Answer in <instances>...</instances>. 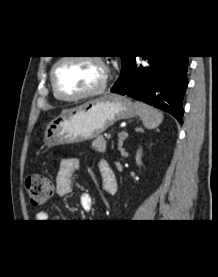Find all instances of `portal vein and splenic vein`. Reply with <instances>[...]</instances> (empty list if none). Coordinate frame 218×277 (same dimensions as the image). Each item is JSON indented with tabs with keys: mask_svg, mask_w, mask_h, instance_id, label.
I'll return each mask as SVG.
<instances>
[{
	"mask_svg": "<svg viewBox=\"0 0 218 277\" xmlns=\"http://www.w3.org/2000/svg\"><path fill=\"white\" fill-rule=\"evenodd\" d=\"M124 134H126V133H124ZM110 138H111V134H107L106 139H110Z\"/></svg>",
	"mask_w": 218,
	"mask_h": 277,
	"instance_id": "obj_1",
	"label": "portal vein and splenic vein"
}]
</instances>
